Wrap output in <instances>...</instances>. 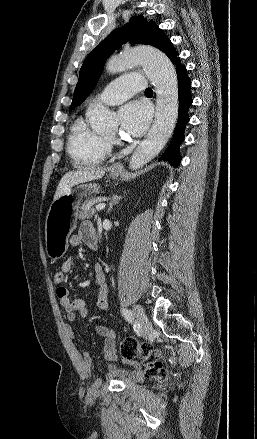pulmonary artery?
Wrapping results in <instances>:
<instances>
[{
	"label": "pulmonary artery",
	"instance_id": "1",
	"mask_svg": "<svg viewBox=\"0 0 257 439\" xmlns=\"http://www.w3.org/2000/svg\"><path fill=\"white\" fill-rule=\"evenodd\" d=\"M146 88V81L139 73H129L121 76L107 85L95 98L94 101L106 105L122 103L131 95L142 92Z\"/></svg>",
	"mask_w": 257,
	"mask_h": 439
}]
</instances>
